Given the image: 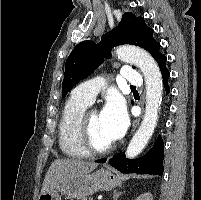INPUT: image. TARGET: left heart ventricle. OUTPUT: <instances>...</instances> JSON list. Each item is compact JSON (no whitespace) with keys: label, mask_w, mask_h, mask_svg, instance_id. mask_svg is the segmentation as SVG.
Instances as JSON below:
<instances>
[{"label":"left heart ventricle","mask_w":201,"mask_h":200,"mask_svg":"<svg viewBox=\"0 0 201 200\" xmlns=\"http://www.w3.org/2000/svg\"><path fill=\"white\" fill-rule=\"evenodd\" d=\"M89 137L96 147H104L113 141L109 138L101 114L95 112L89 117Z\"/></svg>","instance_id":"left-heart-ventricle-1"}]
</instances>
